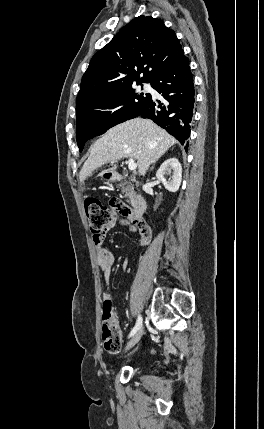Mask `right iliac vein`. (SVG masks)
<instances>
[{"label":"right iliac vein","instance_id":"right-iliac-vein-1","mask_svg":"<svg viewBox=\"0 0 264 429\" xmlns=\"http://www.w3.org/2000/svg\"><path fill=\"white\" fill-rule=\"evenodd\" d=\"M144 332V328L141 325V327L137 330V332L133 335V337L130 339V341L127 343L125 347V352L130 350L133 346H135L139 340L141 339Z\"/></svg>","mask_w":264,"mask_h":429}]
</instances>
